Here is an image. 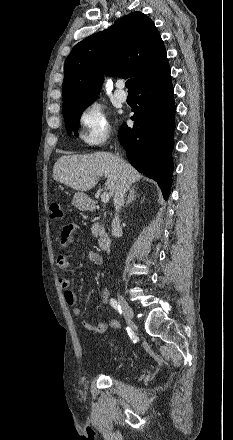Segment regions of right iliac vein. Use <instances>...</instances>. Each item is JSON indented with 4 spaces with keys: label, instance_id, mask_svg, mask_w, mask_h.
<instances>
[{
    "label": "right iliac vein",
    "instance_id": "1",
    "mask_svg": "<svg viewBox=\"0 0 233 440\" xmlns=\"http://www.w3.org/2000/svg\"><path fill=\"white\" fill-rule=\"evenodd\" d=\"M118 301L122 307L124 316L127 318L128 321H132L133 317H134V312H133L131 306L128 304V302L121 295H119Z\"/></svg>",
    "mask_w": 233,
    "mask_h": 440
}]
</instances>
